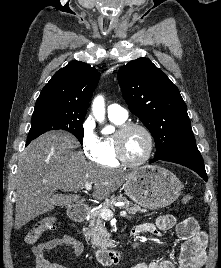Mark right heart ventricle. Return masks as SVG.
Listing matches in <instances>:
<instances>
[{
    "instance_id": "e07e8e85",
    "label": "right heart ventricle",
    "mask_w": 221,
    "mask_h": 268,
    "mask_svg": "<svg viewBox=\"0 0 221 268\" xmlns=\"http://www.w3.org/2000/svg\"><path fill=\"white\" fill-rule=\"evenodd\" d=\"M110 119L115 125L124 123V121ZM94 161L97 164L108 168H117L121 165L115 154L114 135H105L100 138L98 154Z\"/></svg>"
}]
</instances>
